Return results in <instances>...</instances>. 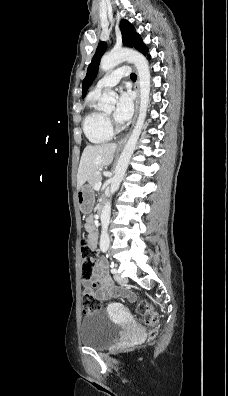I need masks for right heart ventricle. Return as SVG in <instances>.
I'll use <instances>...</instances> for the list:
<instances>
[{
	"label": "right heart ventricle",
	"mask_w": 228,
	"mask_h": 396,
	"mask_svg": "<svg viewBox=\"0 0 228 396\" xmlns=\"http://www.w3.org/2000/svg\"><path fill=\"white\" fill-rule=\"evenodd\" d=\"M99 94L91 92L87 98L88 112L83 120V131L86 138L93 144L110 141L113 132L109 127L105 114L97 107Z\"/></svg>",
	"instance_id": "right-heart-ventricle-1"
}]
</instances>
